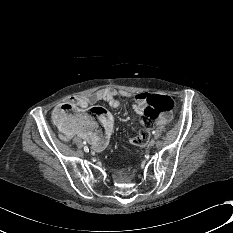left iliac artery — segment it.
<instances>
[{"mask_svg": "<svg viewBox=\"0 0 233 233\" xmlns=\"http://www.w3.org/2000/svg\"><path fill=\"white\" fill-rule=\"evenodd\" d=\"M152 134L155 135V134H156V131H153Z\"/></svg>", "mask_w": 233, "mask_h": 233, "instance_id": "1", "label": "left iliac artery"}]
</instances>
